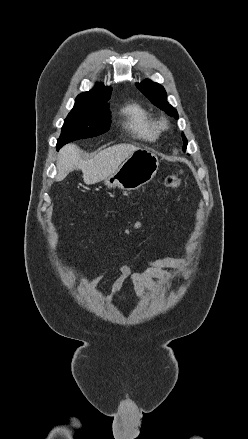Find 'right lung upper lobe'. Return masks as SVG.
I'll use <instances>...</instances> for the list:
<instances>
[{
  "label": "right lung upper lobe",
  "instance_id": "obj_1",
  "mask_svg": "<svg viewBox=\"0 0 248 439\" xmlns=\"http://www.w3.org/2000/svg\"><path fill=\"white\" fill-rule=\"evenodd\" d=\"M111 90V87H106L103 84H97L92 90L79 94L75 100V104L108 107L107 101L110 99Z\"/></svg>",
  "mask_w": 248,
  "mask_h": 439
}]
</instances>
